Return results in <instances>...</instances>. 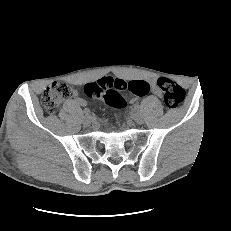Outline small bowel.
Here are the masks:
<instances>
[{
  "label": "small bowel",
  "mask_w": 231,
  "mask_h": 231,
  "mask_svg": "<svg viewBox=\"0 0 231 231\" xmlns=\"http://www.w3.org/2000/svg\"><path fill=\"white\" fill-rule=\"evenodd\" d=\"M150 91L155 94L158 97H162V92L161 90L157 87L156 83L151 80L150 81ZM75 95V102L79 105V106H84L85 105V100H83L82 98L77 96V93H74ZM134 101V99L132 100Z\"/></svg>",
  "instance_id": "obj_1"
}]
</instances>
